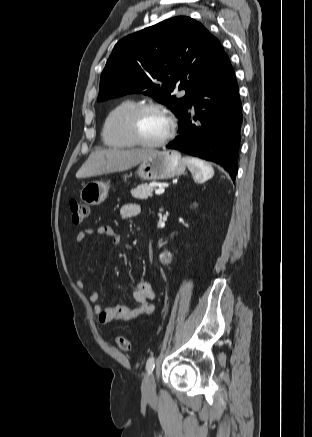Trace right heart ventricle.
Masks as SVG:
<instances>
[{
	"mask_svg": "<svg viewBox=\"0 0 312 437\" xmlns=\"http://www.w3.org/2000/svg\"><path fill=\"white\" fill-rule=\"evenodd\" d=\"M136 102L127 98L117 103L106 115L102 126L103 142L111 147L130 148L136 143L127 130V115Z\"/></svg>",
	"mask_w": 312,
	"mask_h": 437,
	"instance_id": "obj_1",
	"label": "right heart ventricle"
}]
</instances>
